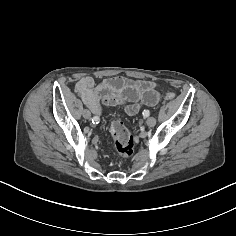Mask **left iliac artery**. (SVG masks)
Here are the masks:
<instances>
[{
  "mask_svg": "<svg viewBox=\"0 0 236 236\" xmlns=\"http://www.w3.org/2000/svg\"><path fill=\"white\" fill-rule=\"evenodd\" d=\"M150 115V112L148 110L143 111V116L148 117Z\"/></svg>",
  "mask_w": 236,
  "mask_h": 236,
  "instance_id": "left-iliac-artery-1",
  "label": "left iliac artery"
}]
</instances>
